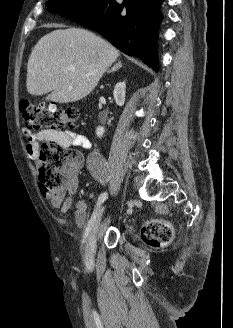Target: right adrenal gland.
I'll use <instances>...</instances> for the list:
<instances>
[{"label":"right adrenal gland","instance_id":"1","mask_svg":"<svg viewBox=\"0 0 233 328\" xmlns=\"http://www.w3.org/2000/svg\"><path fill=\"white\" fill-rule=\"evenodd\" d=\"M122 67V63L120 60H118V63L115 64L111 70H108L107 73H111V72H114V71H117L118 69H120Z\"/></svg>","mask_w":233,"mask_h":328}]
</instances>
